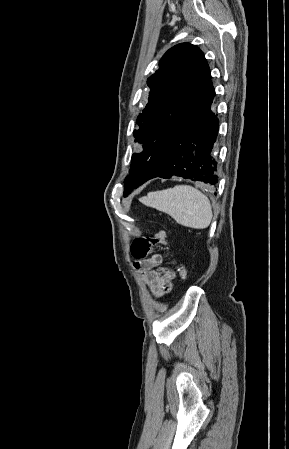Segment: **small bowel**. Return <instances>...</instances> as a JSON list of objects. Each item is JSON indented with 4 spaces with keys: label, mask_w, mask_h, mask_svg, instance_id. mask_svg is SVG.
I'll use <instances>...</instances> for the list:
<instances>
[{
    "label": "small bowel",
    "mask_w": 289,
    "mask_h": 449,
    "mask_svg": "<svg viewBox=\"0 0 289 449\" xmlns=\"http://www.w3.org/2000/svg\"><path fill=\"white\" fill-rule=\"evenodd\" d=\"M162 257L158 254L143 259H136L135 267L145 278L155 297H161L172 290L175 274L161 265Z\"/></svg>",
    "instance_id": "c3829d8e"
}]
</instances>
